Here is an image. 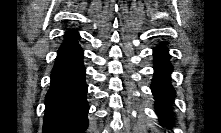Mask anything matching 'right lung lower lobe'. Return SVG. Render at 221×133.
I'll use <instances>...</instances> for the list:
<instances>
[{
  "label": "right lung lower lobe",
  "mask_w": 221,
  "mask_h": 133,
  "mask_svg": "<svg viewBox=\"0 0 221 133\" xmlns=\"http://www.w3.org/2000/svg\"><path fill=\"white\" fill-rule=\"evenodd\" d=\"M78 39L66 38L58 50L45 100L43 133H84L88 126L86 69Z\"/></svg>",
  "instance_id": "right-lung-lower-lobe-1"
}]
</instances>
